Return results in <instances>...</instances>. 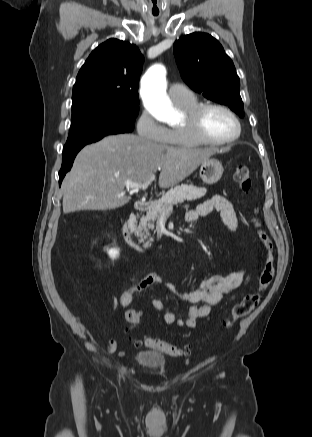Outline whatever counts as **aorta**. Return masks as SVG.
<instances>
[{"instance_id":"aorta-1","label":"aorta","mask_w":312,"mask_h":437,"mask_svg":"<svg viewBox=\"0 0 312 437\" xmlns=\"http://www.w3.org/2000/svg\"><path fill=\"white\" fill-rule=\"evenodd\" d=\"M140 94L146 109L153 117L169 123L174 118V109L166 94V70L160 64L151 66L141 81Z\"/></svg>"}]
</instances>
